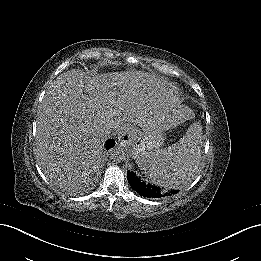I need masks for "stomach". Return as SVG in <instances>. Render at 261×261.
Segmentation results:
<instances>
[{"label":"stomach","mask_w":261,"mask_h":261,"mask_svg":"<svg viewBox=\"0 0 261 261\" xmlns=\"http://www.w3.org/2000/svg\"><path fill=\"white\" fill-rule=\"evenodd\" d=\"M161 120L152 119L146 127L141 130L136 129V133L132 140V156L136 161L143 159L146 154L158 150L163 144V136L160 131Z\"/></svg>","instance_id":"stomach-1"}]
</instances>
